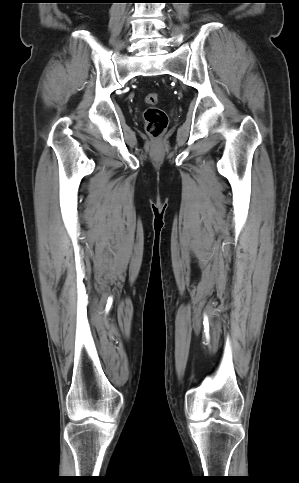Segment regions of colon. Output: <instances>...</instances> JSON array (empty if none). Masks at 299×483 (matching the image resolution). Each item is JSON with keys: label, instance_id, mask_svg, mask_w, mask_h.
I'll return each instance as SVG.
<instances>
[{"label": "colon", "instance_id": "obj_1", "mask_svg": "<svg viewBox=\"0 0 299 483\" xmlns=\"http://www.w3.org/2000/svg\"><path fill=\"white\" fill-rule=\"evenodd\" d=\"M159 95L155 92L146 94L145 102L148 105L144 112L146 131L153 138L161 137L168 126V116L166 112L157 107Z\"/></svg>", "mask_w": 299, "mask_h": 483}]
</instances>
